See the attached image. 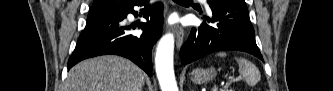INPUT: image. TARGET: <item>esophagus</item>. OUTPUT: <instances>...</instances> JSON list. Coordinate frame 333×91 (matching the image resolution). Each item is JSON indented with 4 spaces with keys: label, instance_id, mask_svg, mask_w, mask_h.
<instances>
[{
    "label": "esophagus",
    "instance_id": "esophagus-1",
    "mask_svg": "<svg viewBox=\"0 0 333 91\" xmlns=\"http://www.w3.org/2000/svg\"><path fill=\"white\" fill-rule=\"evenodd\" d=\"M175 32H176V45H177V48L180 49V47L183 44L184 30L181 26L177 25L175 27Z\"/></svg>",
    "mask_w": 333,
    "mask_h": 91
}]
</instances>
